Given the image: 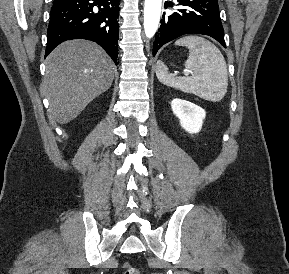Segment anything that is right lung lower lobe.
<instances>
[{"mask_svg":"<svg viewBox=\"0 0 289 274\" xmlns=\"http://www.w3.org/2000/svg\"><path fill=\"white\" fill-rule=\"evenodd\" d=\"M119 0H54L47 33V56L68 39L95 41L117 64Z\"/></svg>","mask_w":289,"mask_h":274,"instance_id":"98d812e1","label":"right lung lower lobe"}]
</instances>
